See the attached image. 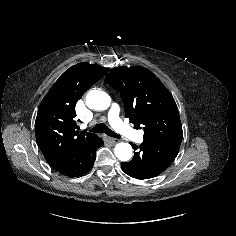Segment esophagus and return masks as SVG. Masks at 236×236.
<instances>
[{"label": "esophagus", "instance_id": "34e87169", "mask_svg": "<svg viewBox=\"0 0 236 236\" xmlns=\"http://www.w3.org/2000/svg\"><path fill=\"white\" fill-rule=\"evenodd\" d=\"M109 141H110L111 143H113V144L119 142V140H118V139H115V138H109Z\"/></svg>", "mask_w": 236, "mask_h": 236}]
</instances>
